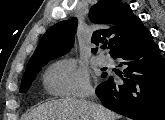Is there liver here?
<instances>
[{"label": "liver", "mask_w": 165, "mask_h": 120, "mask_svg": "<svg viewBox=\"0 0 165 120\" xmlns=\"http://www.w3.org/2000/svg\"><path fill=\"white\" fill-rule=\"evenodd\" d=\"M118 118L119 115L100 104L64 98L39 105L25 120H117Z\"/></svg>", "instance_id": "liver-1"}]
</instances>
